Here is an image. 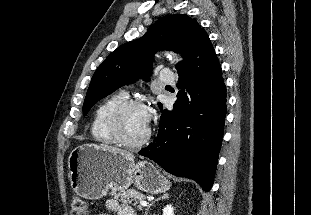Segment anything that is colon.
Listing matches in <instances>:
<instances>
[{
	"label": "colon",
	"mask_w": 311,
	"mask_h": 215,
	"mask_svg": "<svg viewBox=\"0 0 311 215\" xmlns=\"http://www.w3.org/2000/svg\"><path fill=\"white\" fill-rule=\"evenodd\" d=\"M71 213L72 215H87V203L80 197H74L71 202Z\"/></svg>",
	"instance_id": "5ec220e1"
}]
</instances>
